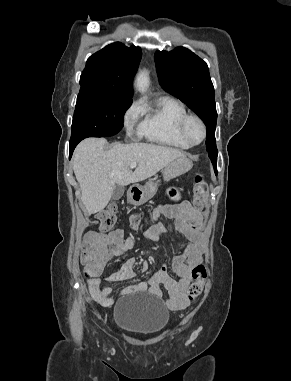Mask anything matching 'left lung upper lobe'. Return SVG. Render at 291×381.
I'll return each instance as SVG.
<instances>
[{"label": "left lung upper lobe", "instance_id": "left-lung-upper-lobe-1", "mask_svg": "<svg viewBox=\"0 0 291 381\" xmlns=\"http://www.w3.org/2000/svg\"><path fill=\"white\" fill-rule=\"evenodd\" d=\"M155 63L164 90L186 103L207 126V152L211 162L217 164V112L206 62L187 48L177 47L170 52L157 51Z\"/></svg>", "mask_w": 291, "mask_h": 381}]
</instances>
